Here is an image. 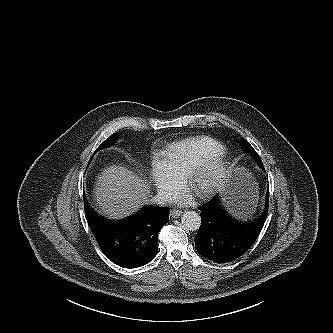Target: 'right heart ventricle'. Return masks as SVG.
Returning a JSON list of instances; mask_svg holds the SVG:
<instances>
[{
    "label": "right heart ventricle",
    "instance_id": "obj_1",
    "mask_svg": "<svg viewBox=\"0 0 333 333\" xmlns=\"http://www.w3.org/2000/svg\"><path fill=\"white\" fill-rule=\"evenodd\" d=\"M224 149L212 137L196 136L170 144L163 151V159L175 175L184 178L198 162Z\"/></svg>",
    "mask_w": 333,
    "mask_h": 333
}]
</instances>
